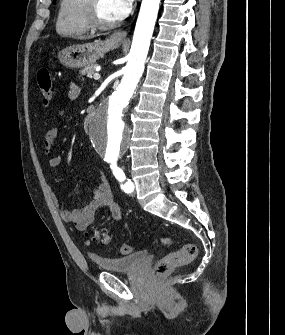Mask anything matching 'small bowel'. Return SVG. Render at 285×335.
I'll list each match as a JSON object with an SVG mask.
<instances>
[{"label": "small bowel", "instance_id": "obj_1", "mask_svg": "<svg viewBox=\"0 0 285 335\" xmlns=\"http://www.w3.org/2000/svg\"><path fill=\"white\" fill-rule=\"evenodd\" d=\"M80 89L77 85H71L68 91V97L74 99L79 95ZM62 109L58 111L61 115ZM58 128H51L47 131L44 139L43 149L46 154H51L54 149L55 141L58 137ZM62 160L60 156H51L48 165L51 168L60 166ZM90 201L81 209L69 210L62 207L55 193L52 192V197L55 204L59 207V213L63 221L72 224L77 230L84 231L95 222L98 211L108 213L113 219L119 220L122 217V209L115 201L110 185L105 176L99 174L97 177Z\"/></svg>", "mask_w": 285, "mask_h": 335}]
</instances>
